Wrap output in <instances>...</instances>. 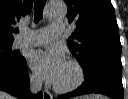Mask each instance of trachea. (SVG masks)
Wrapping results in <instances>:
<instances>
[{
  "mask_svg": "<svg viewBox=\"0 0 128 99\" xmlns=\"http://www.w3.org/2000/svg\"><path fill=\"white\" fill-rule=\"evenodd\" d=\"M46 0H35L34 3V22L38 23L42 19L43 8Z\"/></svg>",
  "mask_w": 128,
  "mask_h": 99,
  "instance_id": "trachea-1",
  "label": "trachea"
}]
</instances>
